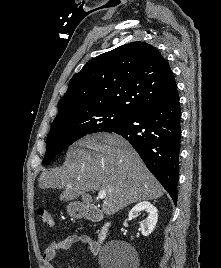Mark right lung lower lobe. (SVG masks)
Masks as SVG:
<instances>
[{
	"label": "right lung lower lobe",
	"instance_id": "98d812e1",
	"mask_svg": "<svg viewBox=\"0 0 221 268\" xmlns=\"http://www.w3.org/2000/svg\"><path fill=\"white\" fill-rule=\"evenodd\" d=\"M179 97L144 109L108 132L127 139L147 168L177 203L179 150L181 138Z\"/></svg>",
	"mask_w": 221,
	"mask_h": 268
}]
</instances>
